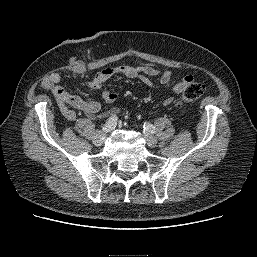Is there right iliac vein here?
I'll return each mask as SVG.
<instances>
[{"label": "right iliac vein", "instance_id": "obj_1", "mask_svg": "<svg viewBox=\"0 0 257 257\" xmlns=\"http://www.w3.org/2000/svg\"><path fill=\"white\" fill-rule=\"evenodd\" d=\"M106 139L105 134L102 131H98L93 137V143L96 146H101Z\"/></svg>", "mask_w": 257, "mask_h": 257}]
</instances>
